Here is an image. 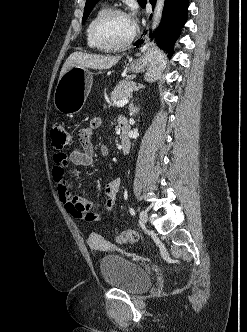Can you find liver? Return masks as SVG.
Segmentation results:
<instances>
[{
    "mask_svg": "<svg viewBox=\"0 0 247 332\" xmlns=\"http://www.w3.org/2000/svg\"><path fill=\"white\" fill-rule=\"evenodd\" d=\"M120 56H105L97 54H88L83 52L72 53L65 61L59 79L71 67L92 68L98 70L109 69L114 66L119 60Z\"/></svg>",
    "mask_w": 247,
    "mask_h": 332,
    "instance_id": "obj_1",
    "label": "liver"
}]
</instances>
